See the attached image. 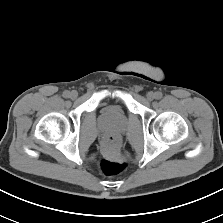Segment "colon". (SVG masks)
<instances>
[{
    "label": "colon",
    "mask_w": 223,
    "mask_h": 223,
    "mask_svg": "<svg viewBox=\"0 0 223 223\" xmlns=\"http://www.w3.org/2000/svg\"><path fill=\"white\" fill-rule=\"evenodd\" d=\"M119 146V139L116 135L110 134L104 138L103 150L105 157L100 161L99 167L101 172L106 176L117 175L127 168L125 158L117 156Z\"/></svg>",
    "instance_id": "1"
}]
</instances>
